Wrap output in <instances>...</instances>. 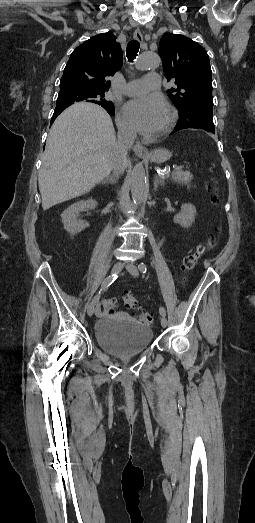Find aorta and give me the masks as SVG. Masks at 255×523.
<instances>
[{
	"label": "aorta",
	"mask_w": 255,
	"mask_h": 523,
	"mask_svg": "<svg viewBox=\"0 0 255 523\" xmlns=\"http://www.w3.org/2000/svg\"><path fill=\"white\" fill-rule=\"evenodd\" d=\"M161 59L154 52L143 53L136 62V68L147 70L156 68L160 65ZM130 189L132 199L136 203H142L147 190V180L143 164L137 163L131 173Z\"/></svg>",
	"instance_id": "obj_1"
}]
</instances>
